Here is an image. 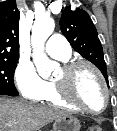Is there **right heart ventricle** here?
Wrapping results in <instances>:
<instances>
[{"label": "right heart ventricle", "mask_w": 117, "mask_h": 131, "mask_svg": "<svg viewBox=\"0 0 117 131\" xmlns=\"http://www.w3.org/2000/svg\"><path fill=\"white\" fill-rule=\"evenodd\" d=\"M67 61V60H64ZM40 101L69 110L77 111L78 109L67 102H65L58 94L53 81L47 82V87L44 94L39 99Z\"/></svg>", "instance_id": "1"}]
</instances>
